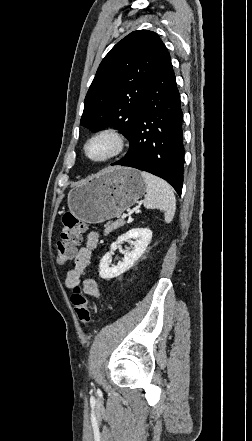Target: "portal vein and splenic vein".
<instances>
[{
	"label": "portal vein and splenic vein",
	"instance_id": "obj_1",
	"mask_svg": "<svg viewBox=\"0 0 252 441\" xmlns=\"http://www.w3.org/2000/svg\"><path fill=\"white\" fill-rule=\"evenodd\" d=\"M127 216H128L127 214H123V215H122V219L127 218Z\"/></svg>",
	"mask_w": 252,
	"mask_h": 441
}]
</instances>
